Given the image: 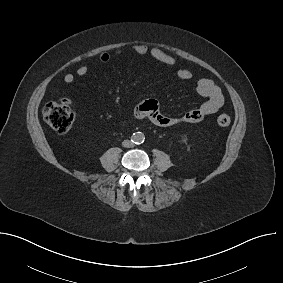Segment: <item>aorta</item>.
<instances>
[{
    "instance_id": "762f6f07",
    "label": "aorta",
    "mask_w": 283,
    "mask_h": 283,
    "mask_svg": "<svg viewBox=\"0 0 283 283\" xmlns=\"http://www.w3.org/2000/svg\"><path fill=\"white\" fill-rule=\"evenodd\" d=\"M144 139H145L144 134L141 133V132H136V133H134L133 136H132V141H133L134 143H141V142L144 141Z\"/></svg>"
}]
</instances>
